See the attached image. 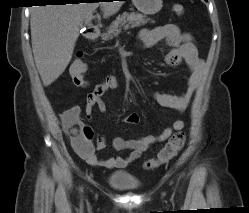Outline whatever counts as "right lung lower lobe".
Here are the masks:
<instances>
[{
    "instance_id": "obj_1",
    "label": "right lung lower lobe",
    "mask_w": 249,
    "mask_h": 213,
    "mask_svg": "<svg viewBox=\"0 0 249 213\" xmlns=\"http://www.w3.org/2000/svg\"><path fill=\"white\" fill-rule=\"evenodd\" d=\"M79 0H46V2L56 3V4H65V3H78ZM112 1V0H109Z\"/></svg>"
}]
</instances>
